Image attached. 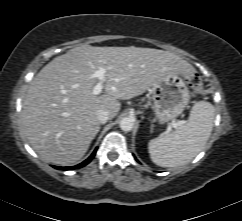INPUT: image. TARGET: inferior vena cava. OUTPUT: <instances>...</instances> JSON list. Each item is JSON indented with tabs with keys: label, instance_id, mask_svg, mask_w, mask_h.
Here are the masks:
<instances>
[{
	"label": "inferior vena cava",
	"instance_id": "obj_1",
	"mask_svg": "<svg viewBox=\"0 0 242 221\" xmlns=\"http://www.w3.org/2000/svg\"><path fill=\"white\" fill-rule=\"evenodd\" d=\"M96 115H97V119L102 124L106 123L110 119L109 112L103 109L97 110Z\"/></svg>",
	"mask_w": 242,
	"mask_h": 221
}]
</instances>
